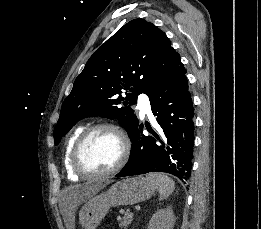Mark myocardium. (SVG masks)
Returning <instances> with one entry per match:
<instances>
[{
    "label": "myocardium",
    "instance_id": "1",
    "mask_svg": "<svg viewBox=\"0 0 261 229\" xmlns=\"http://www.w3.org/2000/svg\"><path fill=\"white\" fill-rule=\"evenodd\" d=\"M106 130L115 133L121 144V155L118 162L108 170L96 171L86 167L81 159V152L88 139L95 133ZM130 155V141L123 129L113 124H98L85 129L75 141L71 150V165L78 174L86 177L109 176L124 167Z\"/></svg>",
    "mask_w": 261,
    "mask_h": 229
}]
</instances>
